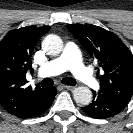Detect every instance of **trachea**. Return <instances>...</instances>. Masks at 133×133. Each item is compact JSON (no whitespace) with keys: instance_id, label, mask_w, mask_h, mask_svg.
<instances>
[{"instance_id":"obj_1","label":"trachea","mask_w":133,"mask_h":133,"mask_svg":"<svg viewBox=\"0 0 133 133\" xmlns=\"http://www.w3.org/2000/svg\"><path fill=\"white\" fill-rule=\"evenodd\" d=\"M53 80L51 78H45L41 82L42 87H51L53 86ZM62 83L67 84V85H72L74 86L76 84V81L73 78L66 77L62 79Z\"/></svg>"}]
</instances>
